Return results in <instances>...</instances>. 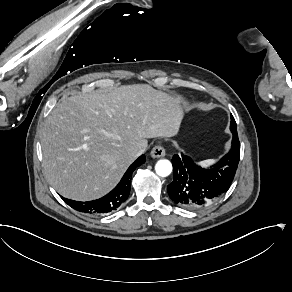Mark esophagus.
<instances>
[{"mask_svg":"<svg viewBox=\"0 0 292 292\" xmlns=\"http://www.w3.org/2000/svg\"><path fill=\"white\" fill-rule=\"evenodd\" d=\"M166 154L165 149L161 145H156L150 152L152 158L164 157Z\"/></svg>","mask_w":292,"mask_h":292,"instance_id":"1","label":"esophagus"}]
</instances>
